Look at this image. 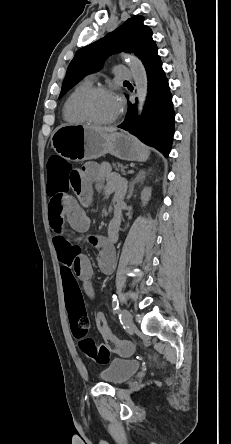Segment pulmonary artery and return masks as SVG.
<instances>
[{"label":"pulmonary artery","instance_id":"e3ab8cb5","mask_svg":"<svg viewBox=\"0 0 231 444\" xmlns=\"http://www.w3.org/2000/svg\"><path fill=\"white\" fill-rule=\"evenodd\" d=\"M115 77L118 80H129L132 78V71L128 67L118 66L115 69ZM90 81L92 78L89 79Z\"/></svg>","mask_w":231,"mask_h":444}]
</instances>
